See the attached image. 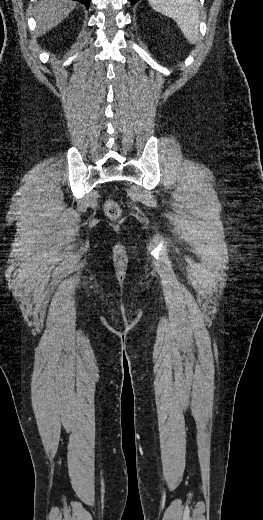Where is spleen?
<instances>
[{"label":"spleen","instance_id":"obj_1","mask_svg":"<svg viewBox=\"0 0 263 520\" xmlns=\"http://www.w3.org/2000/svg\"><path fill=\"white\" fill-rule=\"evenodd\" d=\"M157 12L172 18L189 43L199 37V8L197 0H148Z\"/></svg>","mask_w":263,"mask_h":520}]
</instances>
